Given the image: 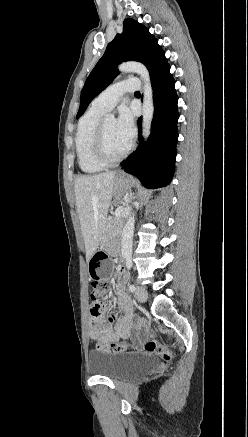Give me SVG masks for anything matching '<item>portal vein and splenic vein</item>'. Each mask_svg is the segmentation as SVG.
<instances>
[{"instance_id": "portal-vein-and-splenic-vein-1", "label": "portal vein and splenic vein", "mask_w": 248, "mask_h": 437, "mask_svg": "<svg viewBox=\"0 0 248 437\" xmlns=\"http://www.w3.org/2000/svg\"><path fill=\"white\" fill-rule=\"evenodd\" d=\"M123 210H124V207H122V206L117 208V210L115 212L116 217H119L121 215V213L123 212Z\"/></svg>"}]
</instances>
